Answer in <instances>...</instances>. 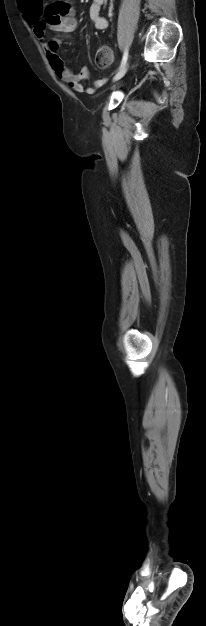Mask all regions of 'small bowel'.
I'll return each instance as SVG.
<instances>
[{
    "instance_id": "small-bowel-1",
    "label": "small bowel",
    "mask_w": 206,
    "mask_h": 626,
    "mask_svg": "<svg viewBox=\"0 0 206 626\" xmlns=\"http://www.w3.org/2000/svg\"><path fill=\"white\" fill-rule=\"evenodd\" d=\"M104 1L93 0L89 8L91 23L98 30L108 27L107 19L100 15ZM25 14L33 24L35 36L42 42L51 67L59 78L69 84L75 92L92 94L106 82V79H100L94 81L91 86L85 87L83 81L89 78V69L84 66L74 73L57 53L61 39L68 37L77 28L75 7L70 1H56L48 5H44L42 1H37L30 10L25 11ZM48 31L55 34L53 39H47Z\"/></svg>"
}]
</instances>
